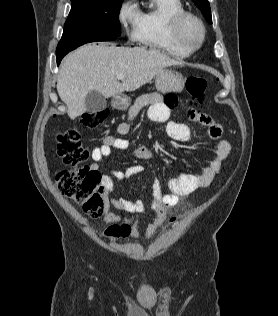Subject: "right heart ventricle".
Returning <instances> with one entry per match:
<instances>
[{
	"instance_id": "1",
	"label": "right heart ventricle",
	"mask_w": 278,
	"mask_h": 316,
	"mask_svg": "<svg viewBox=\"0 0 278 316\" xmlns=\"http://www.w3.org/2000/svg\"><path fill=\"white\" fill-rule=\"evenodd\" d=\"M183 11L182 0H150L149 8L140 12L136 40L177 58L188 57L191 50L179 42L173 30L174 17Z\"/></svg>"
}]
</instances>
